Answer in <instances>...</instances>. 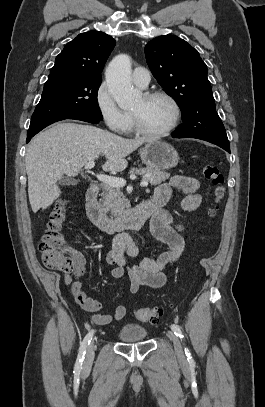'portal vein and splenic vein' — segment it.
Returning a JSON list of instances; mask_svg holds the SVG:
<instances>
[{"label": "portal vein and splenic vein", "instance_id": "portal-vein-and-splenic-vein-1", "mask_svg": "<svg viewBox=\"0 0 265 407\" xmlns=\"http://www.w3.org/2000/svg\"><path fill=\"white\" fill-rule=\"evenodd\" d=\"M95 166L94 161H90L85 165V170L89 171ZM97 179L101 181L104 184H108L113 187H124L126 185V181L122 178L114 177V176H109L105 174H98ZM140 186L142 187H147L148 186V181L147 180H142L140 183Z\"/></svg>", "mask_w": 265, "mask_h": 407}]
</instances>
